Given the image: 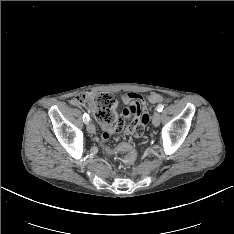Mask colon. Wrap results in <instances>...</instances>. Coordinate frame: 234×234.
Listing matches in <instances>:
<instances>
[{
	"label": "colon",
	"mask_w": 234,
	"mask_h": 234,
	"mask_svg": "<svg viewBox=\"0 0 234 234\" xmlns=\"http://www.w3.org/2000/svg\"><path fill=\"white\" fill-rule=\"evenodd\" d=\"M148 100L153 104H162L164 103L165 98L160 94L151 93L148 96ZM72 103L76 106L89 108L95 118L101 123L114 124L116 126V122H119L120 129H122L124 125L123 118L121 116H116L115 114L116 99L110 93L100 92L81 94L76 96ZM147 123L148 121L146 122V125ZM107 129H109V132H112L114 126H107ZM109 132H106L101 138H97L99 151L102 152L104 156H117L120 153H124L126 154L124 163L128 166L133 165L137 155L132 145L128 142H118L117 144L109 145L105 141ZM134 136H136V134H134Z\"/></svg>",
	"instance_id": "colon-1"
}]
</instances>
